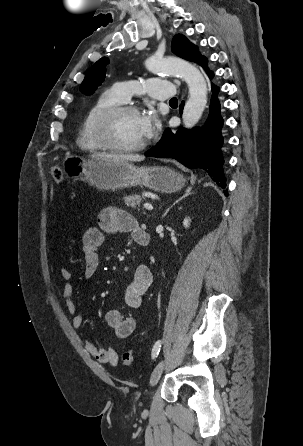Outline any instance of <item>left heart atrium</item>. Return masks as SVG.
Here are the masks:
<instances>
[{
    "instance_id": "obj_1",
    "label": "left heart atrium",
    "mask_w": 303,
    "mask_h": 446,
    "mask_svg": "<svg viewBox=\"0 0 303 446\" xmlns=\"http://www.w3.org/2000/svg\"><path fill=\"white\" fill-rule=\"evenodd\" d=\"M140 128L144 138L156 135L160 129V120L156 113L149 111L140 115Z\"/></svg>"
}]
</instances>
